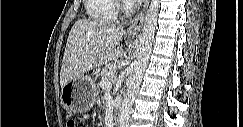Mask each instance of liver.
<instances>
[{
	"label": "liver",
	"instance_id": "liver-1",
	"mask_svg": "<svg viewBox=\"0 0 243 127\" xmlns=\"http://www.w3.org/2000/svg\"><path fill=\"white\" fill-rule=\"evenodd\" d=\"M123 34V27L102 21L82 19L75 22L64 51L61 87L90 70L116 61L121 56L119 43Z\"/></svg>",
	"mask_w": 243,
	"mask_h": 127
}]
</instances>
